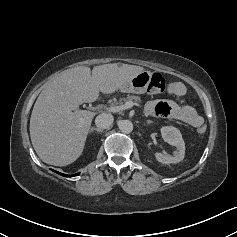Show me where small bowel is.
<instances>
[{"instance_id":"1","label":"small bowel","mask_w":237,"mask_h":237,"mask_svg":"<svg viewBox=\"0 0 237 237\" xmlns=\"http://www.w3.org/2000/svg\"><path fill=\"white\" fill-rule=\"evenodd\" d=\"M168 92L180 98L174 103L166 100L150 101L145 106V111L155 116L172 117L180 120L194 128L203 124V118L194 107L186 104L181 99L186 94V87L182 82H172L169 84Z\"/></svg>"}]
</instances>
